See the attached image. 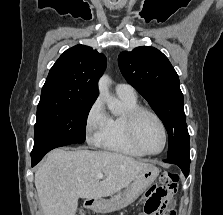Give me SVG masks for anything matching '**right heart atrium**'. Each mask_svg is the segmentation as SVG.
I'll list each match as a JSON object with an SVG mask.
<instances>
[{
  "mask_svg": "<svg viewBox=\"0 0 223 215\" xmlns=\"http://www.w3.org/2000/svg\"><path fill=\"white\" fill-rule=\"evenodd\" d=\"M108 127V114L101 100H95L90 106L86 120L85 129L92 132V142H99Z\"/></svg>",
  "mask_w": 223,
  "mask_h": 215,
  "instance_id": "d8ad5b80",
  "label": "right heart atrium"
}]
</instances>
